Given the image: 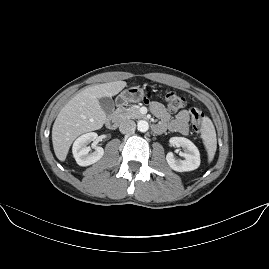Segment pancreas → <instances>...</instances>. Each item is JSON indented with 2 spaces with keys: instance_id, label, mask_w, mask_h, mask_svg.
Here are the masks:
<instances>
[{
  "instance_id": "obj_1",
  "label": "pancreas",
  "mask_w": 269,
  "mask_h": 269,
  "mask_svg": "<svg viewBox=\"0 0 269 269\" xmlns=\"http://www.w3.org/2000/svg\"><path fill=\"white\" fill-rule=\"evenodd\" d=\"M113 114L120 121L129 119V118L137 119V118L142 117V114L140 113L139 108H137L134 105L118 108L114 111Z\"/></svg>"
}]
</instances>
